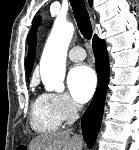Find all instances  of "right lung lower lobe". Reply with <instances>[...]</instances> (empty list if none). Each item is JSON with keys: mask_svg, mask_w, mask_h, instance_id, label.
<instances>
[{"mask_svg": "<svg viewBox=\"0 0 139 150\" xmlns=\"http://www.w3.org/2000/svg\"><path fill=\"white\" fill-rule=\"evenodd\" d=\"M93 50L95 55L98 86L93 99L82 117V134L88 148H91L100 129L105 95L109 82V61L105 42L96 35L93 38Z\"/></svg>", "mask_w": 139, "mask_h": 150, "instance_id": "98d812e1", "label": "right lung lower lobe"}]
</instances>
